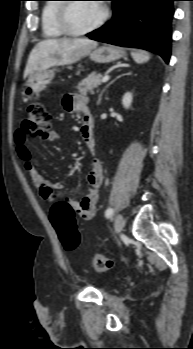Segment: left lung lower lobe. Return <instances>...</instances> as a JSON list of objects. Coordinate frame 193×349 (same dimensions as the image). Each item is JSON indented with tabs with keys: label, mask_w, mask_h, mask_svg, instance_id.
<instances>
[{
	"label": "left lung lower lobe",
	"mask_w": 193,
	"mask_h": 349,
	"mask_svg": "<svg viewBox=\"0 0 193 349\" xmlns=\"http://www.w3.org/2000/svg\"><path fill=\"white\" fill-rule=\"evenodd\" d=\"M111 1L114 9L111 22L87 36L100 42L157 52L168 63L175 0Z\"/></svg>",
	"instance_id": "1"
}]
</instances>
